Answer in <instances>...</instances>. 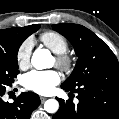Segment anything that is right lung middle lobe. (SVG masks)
<instances>
[{
  "mask_svg": "<svg viewBox=\"0 0 119 119\" xmlns=\"http://www.w3.org/2000/svg\"><path fill=\"white\" fill-rule=\"evenodd\" d=\"M40 25L37 24L34 31H37ZM21 41L16 38L0 39V85L10 86L19 73L17 64V52Z\"/></svg>",
  "mask_w": 119,
  "mask_h": 119,
  "instance_id": "1",
  "label": "right lung middle lobe"
}]
</instances>
